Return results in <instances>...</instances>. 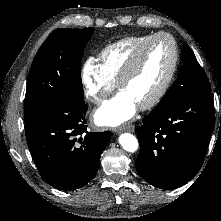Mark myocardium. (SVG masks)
Masks as SVG:
<instances>
[{
    "label": "myocardium",
    "mask_w": 221,
    "mask_h": 221,
    "mask_svg": "<svg viewBox=\"0 0 221 221\" xmlns=\"http://www.w3.org/2000/svg\"><path fill=\"white\" fill-rule=\"evenodd\" d=\"M162 37L168 38L172 43L173 58H172L171 66H170V69L168 71L166 78L164 79L163 83L161 84L159 89L156 91V93L148 101H146L142 105L138 106L139 109L143 110V111L152 109L156 105H158L160 103V101L163 99V97L165 96V94L167 93V91L172 83V80L175 76L178 62H179V48H178L175 38L167 32H158V33H155L152 36H150L133 53V55L128 60L127 64L125 65L123 71L121 72V74L116 82L118 90L121 91V88L123 87V85L127 81H129L136 74L138 69L140 68L141 63H142L143 54H144L145 50L147 49V47L152 42H154L155 40L162 38Z\"/></svg>",
    "instance_id": "obj_1"
}]
</instances>
